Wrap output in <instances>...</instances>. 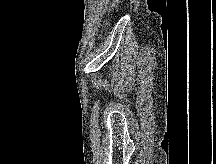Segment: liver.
Masks as SVG:
<instances>
[{
    "instance_id": "obj_1",
    "label": "liver",
    "mask_w": 216,
    "mask_h": 164,
    "mask_svg": "<svg viewBox=\"0 0 216 164\" xmlns=\"http://www.w3.org/2000/svg\"><path fill=\"white\" fill-rule=\"evenodd\" d=\"M116 3H119V0H114V1H113V4H112V7H115V6H116Z\"/></svg>"
}]
</instances>
